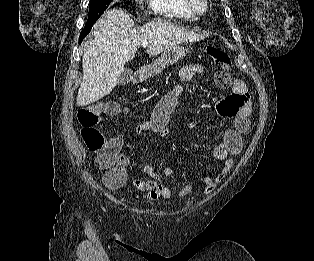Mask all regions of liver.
Returning a JSON list of instances; mask_svg holds the SVG:
<instances>
[{
	"mask_svg": "<svg viewBox=\"0 0 314 261\" xmlns=\"http://www.w3.org/2000/svg\"><path fill=\"white\" fill-rule=\"evenodd\" d=\"M93 36L84 44L83 79L77 95L79 106L108 95L117 84L124 65L134 59L143 42L150 44L148 54L156 56L180 43L203 38L164 21H152L138 27L121 9L106 11L95 23Z\"/></svg>",
	"mask_w": 314,
	"mask_h": 261,
	"instance_id": "liver-1",
	"label": "liver"
}]
</instances>
